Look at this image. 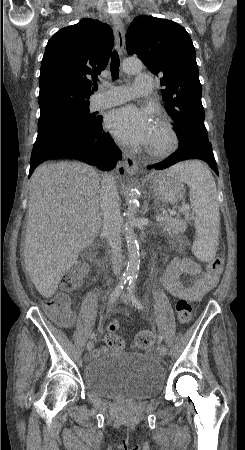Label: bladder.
<instances>
[{
  "label": "bladder",
  "mask_w": 245,
  "mask_h": 450,
  "mask_svg": "<svg viewBox=\"0 0 245 450\" xmlns=\"http://www.w3.org/2000/svg\"><path fill=\"white\" fill-rule=\"evenodd\" d=\"M86 389L97 396H157L165 381L162 365L142 353L122 352L91 358L83 368Z\"/></svg>",
  "instance_id": "1"
}]
</instances>
